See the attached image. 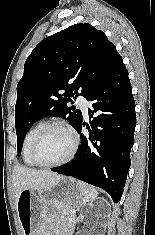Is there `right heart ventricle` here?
I'll list each match as a JSON object with an SVG mask.
<instances>
[{"instance_id":"1","label":"right heart ventricle","mask_w":155,"mask_h":235,"mask_svg":"<svg viewBox=\"0 0 155 235\" xmlns=\"http://www.w3.org/2000/svg\"><path fill=\"white\" fill-rule=\"evenodd\" d=\"M47 123L44 120L36 122L25 134L22 141V160L30 167L36 166L30 156L31 146L38 133L45 127Z\"/></svg>"}]
</instances>
